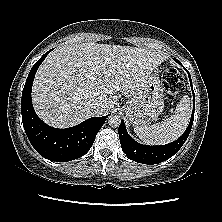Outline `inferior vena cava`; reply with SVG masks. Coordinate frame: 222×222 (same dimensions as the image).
Wrapping results in <instances>:
<instances>
[{
    "instance_id": "obj_1",
    "label": "inferior vena cava",
    "mask_w": 222,
    "mask_h": 222,
    "mask_svg": "<svg viewBox=\"0 0 222 222\" xmlns=\"http://www.w3.org/2000/svg\"><path fill=\"white\" fill-rule=\"evenodd\" d=\"M88 106V108L92 111V112H98L101 106V103L96 102V101H90L86 104Z\"/></svg>"
}]
</instances>
